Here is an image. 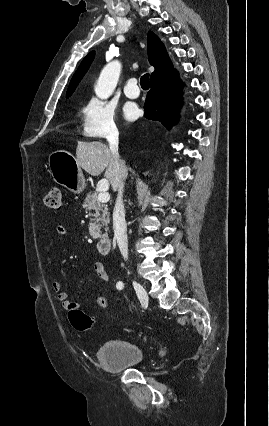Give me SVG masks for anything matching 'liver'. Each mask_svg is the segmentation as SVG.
Instances as JSON below:
<instances>
[{"mask_svg": "<svg viewBox=\"0 0 269 426\" xmlns=\"http://www.w3.org/2000/svg\"><path fill=\"white\" fill-rule=\"evenodd\" d=\"M76 160L78 165L92 176H98L105 170V180L111 184L114 191L118 188L121 174L117 169L115 158L106 144L99 141L78 142ZM123 176L124 178L127 176L126 166Z\"/></svg>", "mask_w": 269, "mask_h": 426, "instance_id": "1", "label": "liver"}]
</instances>
